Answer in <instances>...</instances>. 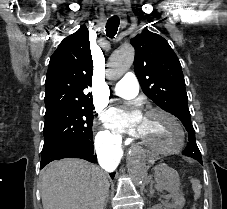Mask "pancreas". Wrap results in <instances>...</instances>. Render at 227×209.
Here are the masks:
<instances>
[{"label": "pancreas", "instance_id": "cf45deb5", "mask_svg": "<svg viewBox=\"0 0 227 209\" xmlns=\"http://www.w3.org/2000/svg\"><path fill=\"white\" fill-rule=\"evenodd\" d=\"M165 204L163 205L165 208H167V209H174L172 206V204L170 203L171 201L170 200H168V199H166L165 201Z\"/></svg>", "mask_w": 227, "mask_h": 209}]
</instances>
